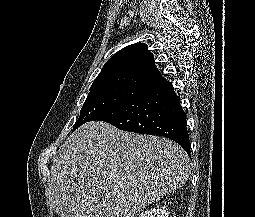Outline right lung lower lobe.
<instances>
[{
    "mask_svg": "<svg viewBox=\"0 0 255 217\" xmlns=\"http://www.w3.org/2000/svg\"><path fill=\"white\" fill-rule=\"evenodd\" d=\"M120 130L164 136L180 144L190 156L186 114L172 83L159 78L124 104L95 116Z\"/></svg>",
    "mask_w": 255,
    "mask_h": 217,
    "instance_id": "obj_1",
    "label": "right lung lower lobe"
}]
</instances>
